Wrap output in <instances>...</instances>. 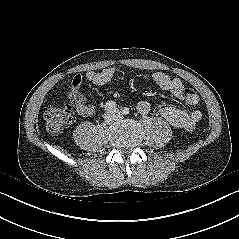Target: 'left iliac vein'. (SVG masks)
<instances>
[{
  "label": "left iliac vein",
  "mask_w": 239,
  "mask_h": 239,
  "mask_svg": "<svg viewBox=\"0 0 239 239\" xmlns=\"http://www.w3.org/2000/svg\"><path fill=\"white\" fill-rule=\"evenodd\" d=\"M112 112L117 114L119 111H118V109H114Z\"/></svg>",
  "instance_id": "1"
}]
</instances>
